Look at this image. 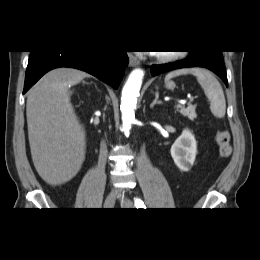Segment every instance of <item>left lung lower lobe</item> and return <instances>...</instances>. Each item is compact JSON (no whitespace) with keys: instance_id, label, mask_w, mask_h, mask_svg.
<instances>
[{"instance_id":"0a47b994","label":"left lung lower lobe","mask_w":260,"mask_h":260,"mask_svg":"<svg viewBox=\"0 0 260 260\" xmlns=\"http://www.w3.org/2000/svg\"><path fill=\"white\" fill-rule=\"evenodd\" d=\"M188 67H203L209 69L218 75L228 87L222 51L219 50L193 51V53L185 60L168 64L152 65L151 74L156 76L174 69Z\"/></svg>"}]
</instances>
